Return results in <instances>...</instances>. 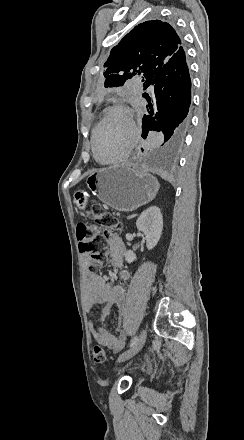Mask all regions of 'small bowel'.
Returning <instances> with one entry per match:
<instances>
[{"mask_svg":"<svg viewBox=\"0 0 244 440\" xmlns=\"http://www.w3.org/2000/svg\"><path fill=\"white\" fill-rule=\"evenodd\" d=\"M125 253L126 247L123 240L117 235L110 236L108 239L109 262L117 270V275L123 282L130 279V273L123 269ZM83 263L86 266L84 271L85 297L89 310L94 306L101 308L100 323L108 315L111 306L118 307L125 314L129 310L125 286L109 283L101 275L89 270L90 256L88 254L83 256ZM89 329L97 343L113 352L121 351L126 344V336L122 330L121 321L118 325L117 335L111 333L103 325H96L93 321H90Z\"/></svg>","mask_w":244,"mask_h":440,"instance_id":"obj_1","label":"small bowel"}]
</instances>
